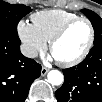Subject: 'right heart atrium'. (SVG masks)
I'll return each mask as SVG.
<instances>
[{"label": "right heart atrium", "instance_id": "d8ad5b80", "mask_svg": "<svg viewBox=\"0 0 102 102\" xmlns=\"http://www.w3.org/2000/svg\"><path fill=\"white\" fill-rule=\"evenodd\" d=\"M17 31L27 56L34 57L46 50L47 42L37 32L33 24L22 20L18 24Z\"/></svg>", "mask_w": 102, "mask_h": 102}]
</instances>
